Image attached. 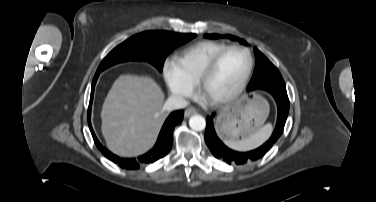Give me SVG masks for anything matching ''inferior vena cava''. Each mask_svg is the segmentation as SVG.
<instances>
[{"label": "inferior vena cava", "instance_id": "602c4592", "mask_svg": "<svg viewBox=\"0 0 376 202\" xmlns=\"http://www.w3.org/2000/svg\"><path fill=\"white\" fill-rule=\"evenodd\" d=\"M188 105V102L181 96H170L164 106L163 110L172 111L176 109H182L185 108Z\"/></svg>", "mask_w": 376, "mask_h": 202}]
</instances>
